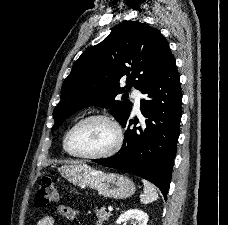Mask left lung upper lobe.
<instances>
[{
  "mask_svg": "<svg viewBox=\"0 0 228 225\" xmlns=\"http://www.w3.org/2000/svg\"><path fill=\"white\" fill-rule=\"evenodd\" d=\"M172 56L167 40L156 28L138 21L115 26L99 44L88 48L73 64L61 89V101L53 111V130L74 112L90 105L110 109L123 124L129 117V100H115L128 94L131 86L142 90L161 72ZM126 76V86L120 79Z\"/></svg>",
  "mask_w": 228,
  "mask_h": 225,
  "instance_id": "left-lung-upper-lobe-1",
  "label": "left lung upper lobe"
}]
</instances>
